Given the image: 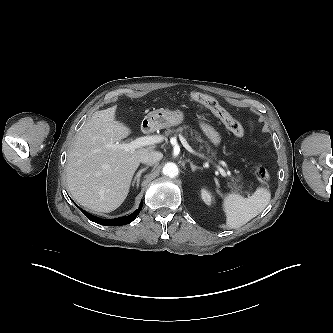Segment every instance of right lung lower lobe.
Wrapping results in <instances>:
<instances>
[{"mask_svg": "<svg viewBox=\"0 0 333 333\" xmlns=\"http://www.w3.org/2000/svg\"><path fill=\"white\" fill-rule=\"evenodd\" d=\"M143 206V203L140 204L139 208L132 214L128 215V216H124V217H120V218H115V219H102V218H98L96 216H93L89 213H87L85 210L80 209L85 216L95 222L98 223L100 225H106V226H121V225H125V224H129L130 222H132L137 215L139 214L141 208Z\"/></svg>", "mask_w": 333, "mask_h": 333, "instance_id": "right-lung-lower-lobe-1", "label": "right lung lower lobe"}]
</instances>
